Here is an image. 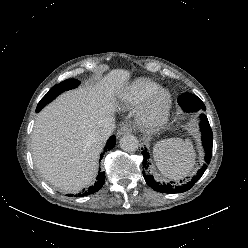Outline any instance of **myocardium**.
<instances>
[{
  "mask_svg": "<svg viewBox=\"0 0 248 248\" xmlns=\"http://www.w3.org/2000/svg\"><path fill=\"white\" fill-rule=\"evenodd\" d=\"M173 97L169 90L160 89L141 106L138 118L142 125L154 129L163 126L169 119Z\"/></svg>",
  "mask_w": 248,
  "mask_h": 248,
  "instance_id": "myocardium-1",
  "label": "myocardium"
}]
</instances>
